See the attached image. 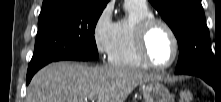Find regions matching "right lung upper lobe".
Instances as JSON below:
<instances>
[{
	"instance_id": "right-lung-upper-lobe-1",
	"label": "right lung upper lobe",
	"mask_w": 221,
	"mask_h": 102,
	"mask_svg": "<svg viewBox=\"0 0 221 102\" xmlns=\"http://www.w3.org/2000/svg\"><path fill=\"white\" fill-rule=\"evenodd\" d=\"M79 1H85L93 7H105L109 0H43L42 9L63 6Z\"/></svg>"
}]
</instances>
